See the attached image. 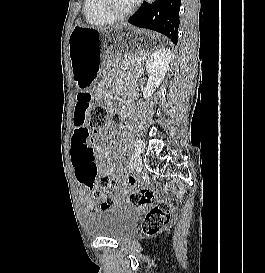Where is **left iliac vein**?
Masks as SVG:
<instances>
[{
    "mask_svg": "<svg viewBox=\"0 0 265 273\" xmlns=\"http://www.w3.org/2000/svg\"><path fill=\"white\" fill-rule=\"evenodd\" d=\"M139 144H140V148L141 150H143L144 148V142L141 139H138ZM134 166L135 169L137 171H141L142 170V157L140 155H136L134 158Z\"/></svg>",
    "mask_w": 265,
    "mask_h": 273,
    "instance_id": "1",
    "label": "left iliac vein"
}]
</instances>
